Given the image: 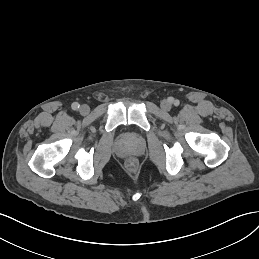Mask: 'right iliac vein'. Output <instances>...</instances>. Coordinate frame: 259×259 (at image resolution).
I'll list each match as a JSON object with an SVG mask.
<instances>
[{"label": "right iliac vein", "instance_id": "1", "mask_svg": "<svg viewBox=\"0 0 259 259\" xmlns=\"http://www.w3.org/2000/svg\"><path fill=\"white\" fill-rule=\"evenodd\" d=\"M79 111L82 115H87L90 111V108L88 105L84 104L80 107Z\"/></svg>", "mask_w": 259, "mask_h": 259}]
</instances>
